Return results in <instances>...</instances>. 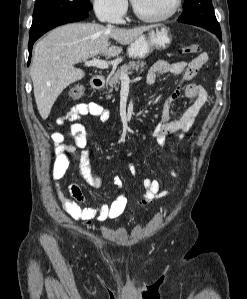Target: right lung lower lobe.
<instances>
[{
	"label": "right lung lower lobe",
	"instance_id": "obj_1",
	"mask_svg": "<svg viewBox=\"0 0 247 299\" xmlns=\"http://www.w3.org/2000/svg\"><path fill=\"white\" fill-rule=\"evenodd\" d=\"M87 17H88L87 11L72 12V13L63 15V16L49 22L48 24H46L45 26H43L42 28H40L36 32L31 33L30 34V39H29V47H28L29 48L28 65L30 63L32 46H33L34 42L40 36H42L44 33H46L47 31L51 30L52 28H54L56 26H59V25L65 24V23H69V22L80 21V20H83Z\"/></svg>",
	"mask_w": 247,
	"mask_h": 299
}]
</instances>
